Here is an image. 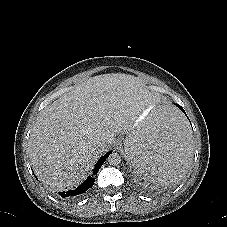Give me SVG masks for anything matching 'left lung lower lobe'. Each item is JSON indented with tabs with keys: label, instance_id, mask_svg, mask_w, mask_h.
Returning <instances> with one entry per match:
<instances>
[{
	"label": "left lung lower lobe",
	"instance_id": "0a47b994",
	"mask_svg": "<svg viewBox=\"0 0 227 227\" xmlns=\"http://www.w3.org/2000/svg\"><path fill=\"white\" fill-rule=\"evenodd\" d=\"M184 113V109L177 105ZM186 114V113H185ZM190 142L192 143V139L190 138ZM187 143V138L184 139L183 137H178L174 135L170 142L161 149H158L153 154L159 155L161 159L165 160V167L170 169L174 165L178 164V158L184 151L185 145ZM143 156L139 153V157H136L135 163L131 164L132 170L138 173V164L142 160ZM138 161V163H137ZM164 162V161H163ZM164 164V163H163Z\"/></svg>",
	"mask_w": 227,
	"mask_h": 227
}]
</instances>
